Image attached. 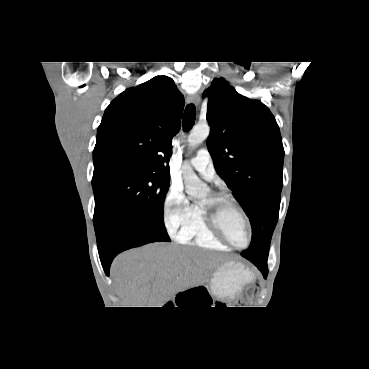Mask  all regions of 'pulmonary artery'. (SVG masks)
Listing matches in <instances>:
<instances>
[{"mask_svg":"<svg viewBox=\"0 0 369 369\" xmlns=\"http://www.w3.org/2000/svg\"><path fill=\"white\" fill-rule=\"evenodd\" d=\"M189 164L205 179L211 180L214 177L215 169L207 149H200L196 156L189 161Z\"/></svg>","mask_w":369,"mask_h":369,"instance_id":"obj_1","label":"pulmonary artery"}]
</instances>
